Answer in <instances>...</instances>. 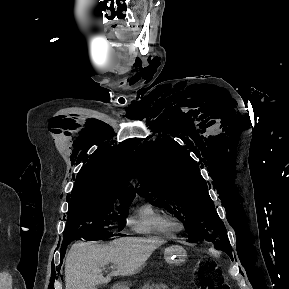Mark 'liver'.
<instances>
[{
  "instance_id": "obj_1",
  "label": "liver",
  "mask_w": 289,
  "mask_h": 289,
  "mask_svg": "<svg viewBox=\"0 0 289 289\" xmlns=\"http://www.w3.org/2000/svg\"><path fill=\"white\" fill-rule=\"evenodd\" d=\"M165 241L124 237L108 245L78 242L72 245L65 262V289H96L110 281L111 276L134 274ZM116 265V270L103 277L101 268Z\"/></svg>"
}]
</instances>
